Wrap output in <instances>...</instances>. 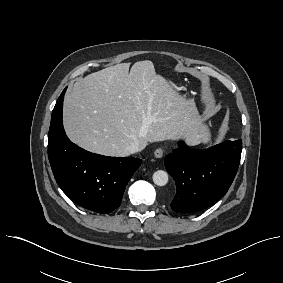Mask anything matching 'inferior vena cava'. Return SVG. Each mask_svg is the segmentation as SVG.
Here are the masks:
<instances>
[{
  "label": "inferior vena cava",
  "instance_id": "obj_1",
  "mask_svg": "<svg viewBox=\"0 0 283 283\" xmlns=\"http://www.w3.org/2000/svg\"><path fill=\"white\" fill-rule=\"evenodd\" d=\"M144 148L145 146L142 145L139 141H135L130 144V146L128 147V151L130 153H136V152L143 150Z\"/></svg>",
  "mask_w": 283,
  "mask_h": 283
}]
</instances>
